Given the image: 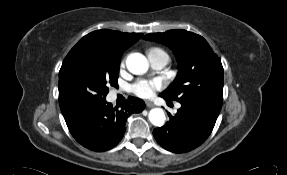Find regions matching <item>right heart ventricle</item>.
Segmentation results:
<instances>
[{"instance_id": "obj_1", "label": "right heart ventricle", "mask_w": 287, "mask_h": 175, "mask_svg": "<svg viewBox=\"0 0 287 175\" xmlns=\"http://www.w3.org/2000/svg\"><path fill=\"white\" fill-rule=\"evenodd\" d=\"M156 50H160V49H152V50H150V52H152V51H156Z\"/></svg>"}]
</instances>
